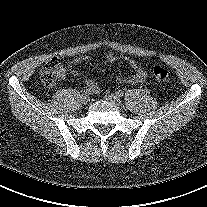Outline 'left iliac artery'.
Returning a JSON list of instances; mask_svg holds the SVG:
<instances>
[{"label": "left iliac artery", "mask_w": 207, "mask_h": 207, "mask_svg": "<svg viewBox=\"0 0 207 207\" xmlns=\"http://www.w3.org/2000/svg\"><path fill=\"white\" fill-rule=\"evenodd\" d=\"M123 94H124V93H123V91H121V90H119V91L116 92V95L119 96V97H122Z\"/></svg>", "instance_id": "left-iliac-artery-1"}]
</instances>
